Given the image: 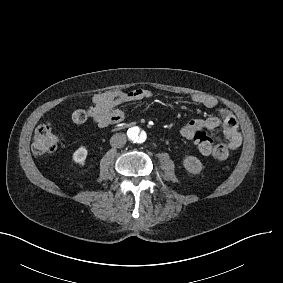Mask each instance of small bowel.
Masks as SVG:
<instances>
[{
  "label": "small bowel",
  "instance_id": "small-bowel-1",
  "mask_svg": "<svg viewBox=\"0 0 283 283\" xmlns=\"http://www.w3.org/2000/svg\"><path fill=\"white\" fill-rule=\"evenodd\" d=\"M155 94L146 89H133L125 91L114 89L95 94L92 99V106L89 109L93 122L100 128H105L113 124H118L125 119L124 110L117 108L122 104H135L150 98ZM192 101L209 109H216V115H211L206 119H195L180 129V134L190 139L193 131L202 129L212 131L222 126L223 140L213 138L217 143V150L209 155L217 160L224 161L228 159L230 152L238 149L243 142L242 134L239 131L238 122L235 115L227 108L219 106L218 100L206 94H194Z\"/></svg>",
  "mask_w": 283,
  "mask_h": 283
}]
</instances>
